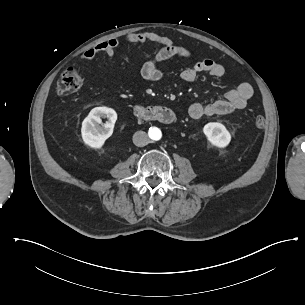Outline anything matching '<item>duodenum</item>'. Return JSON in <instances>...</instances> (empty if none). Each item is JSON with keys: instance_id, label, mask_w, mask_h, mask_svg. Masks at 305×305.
Instances as JSON below:
<instances>
[{"instance_id": "obj_1", "label": "duodenum", "mask_w": 305, "mask_h": 305, "mask_svg": "<svg viewBox=\"0 0 305 305\" xmlns=\"http://www.w3.org/2000/svg\"><path fill=\"white\" fill-rule=\"evenodd\" d=\"M133 110L138 119L146 122L169 125L175 119L173 111L165 106L136 104Z\"/></svg>"}]
</instances>
